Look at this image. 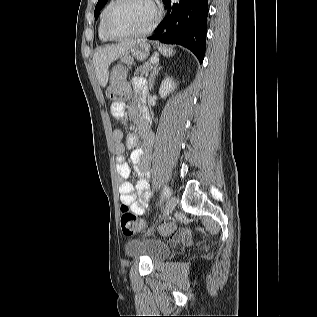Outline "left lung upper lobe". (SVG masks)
Wrapping results in <instances>:
<instances>
[{
    "mask_svg": "<svg viewBox=\"0 0 317 317\" xmlns=\"http://www.w3.org/2000/svg\"><path fill=\"white\" fill-rule=\"evenodd\" d=\"M108 0H98V3L95 7V19H97L98 14L100 10L103 8V6L107 3Z\"/></svg>",
    "mask_w": 317,
    "mask_h": 317,
    "instance_id": "left-lung-upper-lobe-1",
    "label": "left lung upper lobe"
}]
</instances>
